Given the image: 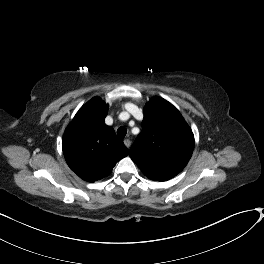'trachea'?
<instances>
[{
    "label": "trachea",
    "instance_id": "obj_1",
    "mask_svg": "<svg viewBox=\"0 0 264 264\" xmlns=\"http://www.w3.org/2000/svg\"><path fill=\"white\" fill-rule=\"evenodd\" d=\"M127 134V129L124 128V127H120L118 130H117V135L119 138H124Z\"/></svg>",
    "mask_w": 264,
    "mask_h": 264
}]
</instances>
